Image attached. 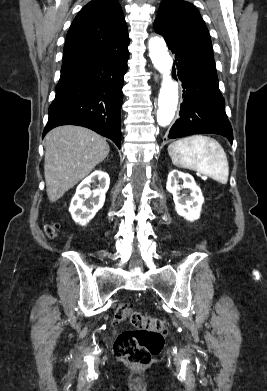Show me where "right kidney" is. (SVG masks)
Listing matches in <instances>:
<instances>
[{"instance_id": "right-kidney-1", "label": "right kidney", "mask_w": 267, "mask_h": 391, "mask_svg": "<svg viewBox=\"0 0 267 391\" xmlns=\"http://www.w3.org/2000/svg\"><path fill=\"white\" fill-rule=\"evenodd\" d=\"M96 181L99 182L97 189L90 190V184ZM109 184L110 178L107 173L95 171L78 185L69 207L76 223L86 225L103 207Z\"/></svg>"}]
</instances>
